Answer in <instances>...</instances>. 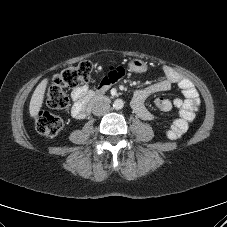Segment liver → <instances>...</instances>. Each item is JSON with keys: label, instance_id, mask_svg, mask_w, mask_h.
<instances>
[{"label": "liver", "instance_id": "liver-1", "mask_svg": "<svg viewBox=\"0 0 227 227\" xmlns=\"http://www.w3.org/2000/svg\"><path fill=\"white\" fill-rule=\"evenodd\" d=\"M47 84H48V79L47 78L43 79L38 84V86L36 87L31 97L30 105H29V113H30V116L33 118L38 114V112L42 107Z\"/></svg>", "mask_w": 227, "mask_h": 227}]
</instances>
